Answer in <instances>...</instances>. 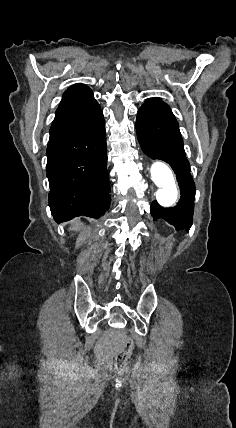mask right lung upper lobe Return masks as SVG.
I'll list each match as a JSON object with an SVG mask.
<instances>
[{
    "instance_id": "obj_1",
    "label": "right lung upper lobe",
    "mask_w": 236,
    "mask_h": 428,
    "mask_svg": "<svg viewBox=\"0 0 236 428\" xmlns=\"http://www.w3.org/2000/svg\"><path fill=\"white\" fill-rule=\"evenodd\" d=\"M99 105L93 97L92 90L81 83L68 88L63 95L60 105L56 111V116L83 112L97 108Z\"/></svg>"
}]
</instances>
